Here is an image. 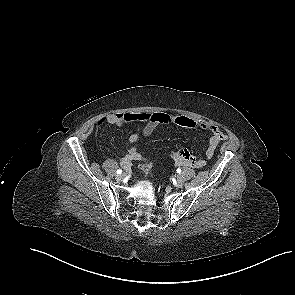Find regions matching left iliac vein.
I'll return each instance as SVG.
<instances>
[{"mask_svg":"<svg viewBox=\"0 0 295 295\" xmlns=\"http://www.w3.org/2000/svg\"><path fill=\"white\" fill-rule=\"evenodd\" d=\"M175 186L178 188L183 186V180L181 179V177H177V180L175 182Z\"/></svg>","mask_w":295,"mask_h":295,"instance_id":"left-iliac-vein-1","label":"left iliac vein"}]
</instances>
